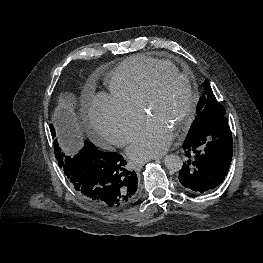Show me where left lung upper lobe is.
<instances>
[{"mask_svg":"<svg viewBox=\"0 0 263 263\" xmlns=\"http://www.w3.org/2000/svg\"><path fill=\"white\" fill-rule=\"evenodd\" d=\"M204 93L197 105V116L189 129L187 136L199 134L212 120L225 116V109L213 94L209 82L203 83Z\"/></svg>","mask_w":263,"mask_h":263,"instance_id":"1","label":"left lung upper lobe"}]
</instances>
